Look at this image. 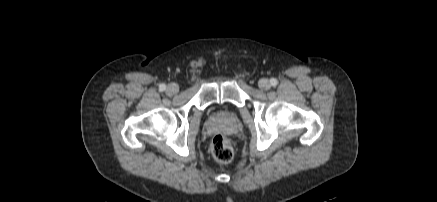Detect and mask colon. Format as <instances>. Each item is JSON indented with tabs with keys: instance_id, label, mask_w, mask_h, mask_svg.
<instances>
[{
	"instance_id": "5ec220e1",
	"label": "colon",
	"mask_w": 437,
	"mask_h": 202,
	"mask_svg": "<svg viewBox=\"0 0 437 202\" xmlns=\"http://www.w3.org/2000/svg\"><path fill=\"white\" fill-rule=\"evenodd\" d=\"M211 152L214 159L220 163H229L234 156V150L228 137L217 134L211 144Z\"/></svg>"
}]
</instances>
